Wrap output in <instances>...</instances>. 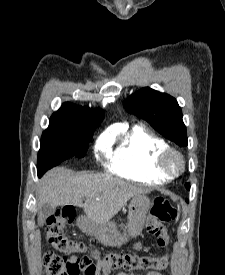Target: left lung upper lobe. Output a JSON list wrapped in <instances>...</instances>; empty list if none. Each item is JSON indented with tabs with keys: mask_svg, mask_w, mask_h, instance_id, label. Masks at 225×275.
<instances>
[{
	"mask_svg": "<svg viewBox=\"0 0 225 275\" xmlns=\"http://www.w3.org/2000/svg\"><path fill=\"white\" fill-rule=\"evenodd\" d=\"M125 109L145 119L167 139L179 146H187L186 127L182 112L175 98L151 88H142L125 101ZM189 190V183L185 184Z\"/></svg>",
	"mask_w": 225,
	"mask_h": 275,
	"instance_id": "1",
	"label": "left lung upper lobe"
}]
</instances>
